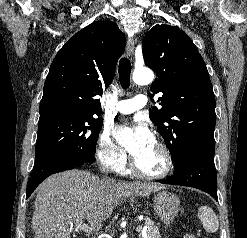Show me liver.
Listing matches in <instances>:
<instances>
[{
	"mask_svg": "<svg viewBox=\"0 0 247 238\" xmlns=\"http://www.w3.org/2000/svg\"><path fill=\"white\" fill-rule=\"evenodd\" d=\"M165 188L153 183H115L78 169L52 175L37 190L34 238H71L70 228L84 220L99 230L124 198L144 197Z\"/></svg>",
	"mask_w": 247,
	"mask_h": 238,
	"instance_id": "1",
	"label": "liver"
}]
</instances>
